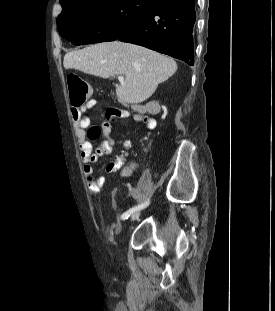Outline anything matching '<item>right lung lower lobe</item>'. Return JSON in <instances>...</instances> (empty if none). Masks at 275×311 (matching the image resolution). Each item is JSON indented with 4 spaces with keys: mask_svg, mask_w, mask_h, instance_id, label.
<instances>
[{
    "mask_svg": "<svg viewBox=\"0 0 275 311\" xmlns=\"http://www.w3.org/2000/svg\"><path fill=\"white\" fill-rule=\"evenodd\" d=\"M195 0H159L118 36L194 65ZM115 39V40H116Z\"/></svg>",
    "mask_w": 275,
    "mask_h": 311,
    "instance_id": "right-lung-lower-lobe-1",
    "label": "right lung lower lobe"
}]
</instances>
